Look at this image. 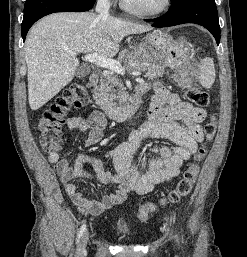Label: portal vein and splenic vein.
Segmentation results:
<instances>
[{"label":"portal vein and splenic vein","mask_w":247,"mask_h":257,"mask_svg":"<svg viewBox=\"0 0 247 257\" xmlns=\"http://www.w3.org/2000/svg\"><path fill=\"white\" fill-rule=\"evenodd\" d=\"M69 55L75 56L77 53L68 51ZM85 60L94 63L95 65L116 72L120 75H124L125 68L116 60L92 53L85 56ZM132 75L140 76L141 72H133Z\"/></svg>","instance_id":"portal-vein-and-splenic-vein-1"}]
</instances>
